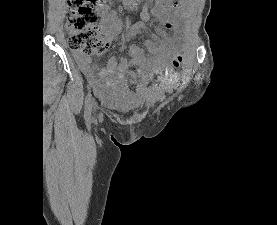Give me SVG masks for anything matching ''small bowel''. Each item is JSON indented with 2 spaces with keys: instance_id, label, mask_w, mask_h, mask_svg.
<instances>
[{
  "instance_id": "small-bowel-1",
  "label": "small bowel",
  "mask_w": 277,
  "mask_h": 225,
  "mask_svg": "<svg viewBox=\"0 0 277 225\" xmlns=\"http://www.w3.org/2000/svg\"><path fill=\"white\" fill-rule=\"evenodd\" d=\"M98 12L102 36L107 46H109L114 36L121 31V22L104 8H99ZM150 13L157 22L163 25V28L155 29L153 39L146 40V51L135 44L128 51L132 62L140 63L147 60L150 66V71L143 73L136 92L128 94V98L139 102L160 101L167 93L172 91L174 82L167 70V60L174 50V43L169 31L176 29L179 20L184 16L181 6L174 8V6L167 4L165 0H157L156 5L152 8L145 4L141 13L142 21L133 25L127 31L126 36L134 37L141 29H146ZM75 59L94 91L101 96H107L108 88L119 84L124 71L128 67L127 59L119 61L114 56L103 67L94 64L92 58L86 55H76ZM152 76H156V82L149 86L148 81Z\"/></svg>"
}]
</instances>
